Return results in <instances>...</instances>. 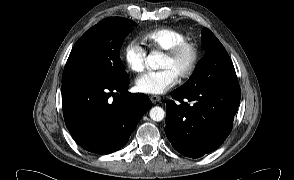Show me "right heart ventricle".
<instances>
[{
  "instance_id": "right-heart-ventricle-1",
  "label": "right heart ventricle",
  "mask_w": 294,
  "mask_h": 180,
  "mask_svg": "<svg viewBox=\"0 0 294 180\" xmlns=\"http://www.w3.org/2000/svg\"><path fill=\"white\" fill-rule=\"evenodd\" d=\"M139 39L147 48L165 52L176 43L185 41L186 36L175 28L162 27L140 35Z\"/></svg>"
}]
</instances>
